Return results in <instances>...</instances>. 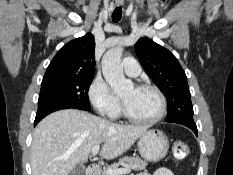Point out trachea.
<instances>
[{
    "mask_svg": "<svg viewBox=\"0 0 233 175\" xmlns=\"http://www.w3.org/2000/svg\"><path fill=\"white\" fill-rule=\"evenodd\" d=\"M122 17V8L116 7L113 14H112V21L118 22Z\"/></svg>",
    "mask_w": 233,
    "mask_h": 175,
    "instance_id": "1",
    "label": "trachea"
}]
</instances>
